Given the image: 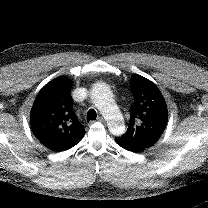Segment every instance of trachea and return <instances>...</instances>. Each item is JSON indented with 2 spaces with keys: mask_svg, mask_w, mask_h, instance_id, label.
Returning <instances> with one entry per match:
<instances>
[{
  "mask_svg": "<svg viewBox=\"0 0 208 208\" xmlns=\"http://www.w3.org/2000/svg\"><path fill=\"white\" fill-rule=\"evenodd\" d=\"M97 117V113L94 109H90L88 112H87V116H86V119L87 121H91V120H95Z\"/></svg>",
  "mask_w": 208,
  "mask_h": 208,
  "instance_id": "trachea-1",
  "label": "trachea"
}]
</instances>
